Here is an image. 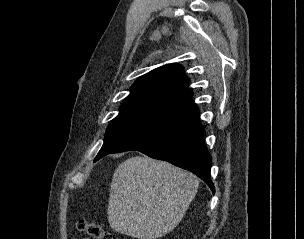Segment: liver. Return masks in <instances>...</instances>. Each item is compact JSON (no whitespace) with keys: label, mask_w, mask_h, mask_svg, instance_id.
Returning a JSON list of instances; mask_svg holds the SVG:
<instances>
[{"label":"liver","mask_w":304,"mask_h":239,"mask_svg":"<svg viewBox=\"0 0 304 239\" xmlns=\"http://www.w3.org/2000/svg\"><path fill=\"white\" fill-rule=\"evenodd\" d=\"M198 178L165 161L136 156L118 165L110 185L108 222L123 235L156 239L182 220Z\"/></svg>","instance_id":"obj_1"}]
</instances>
